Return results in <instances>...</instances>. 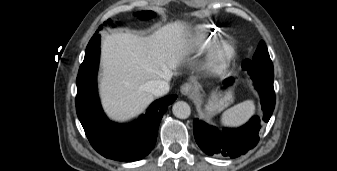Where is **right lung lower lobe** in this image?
Instances as JSON below:
<instances>
[{"label":"right lung lower lobe","mask_w":337,"mask_h":171,"mask_svg":"<svg viewBox=\"0 0 337 171\" xmlns=\"http://www.w3.org/2000/svg\"><path fill=\"white\" fill-rule=\"evenodd\" d=\"M100 54V35L90 40L77 76L76 111L92 147L116 161L132 162L147 156L155 146L163 114L176 95L155 101L137 121L119 125L109 121L97 95L96 75Z\"/></svg>","instance_id":"obj_1"}]
</instances>
